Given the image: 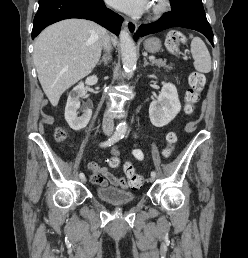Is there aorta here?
<instances>
[{
	"mask_svg": "<svg viewBox=\"0 0 248 258\" xmlns=\"http://www.w3.org/2000/svg\"><path fill=\"white\" fill-rule=\"evenodd\" d=\"M120 48L123 68L127 74L131 75L136 68L137 51L133 39L126 30L120 32ZM126 130L125 122L120 123L116 128V132L119 134H124Z\"/></svg>",
	"mask_w": 248,
	"mask_h": 258,
	"instance_id": "762f6f07",
	"label": "aorta"
}]
</instances>
